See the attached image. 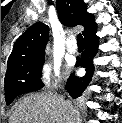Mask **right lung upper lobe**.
I'll list each match as a JSON object with an SVG mask.
<instances>
[{"mask_svg": "<svg viewBox=\"0 0 122 123\" xmlns=\"http://www.w3.org/2000/svg\"><path fill=\"white\" fill-rule=\"evenodd\" d=\"M59 20L66 26H84L83 35L86 37L97 29L93 14L87 12L83 0H57ZM49 38V27L37 22L29 27L15 42L7 62V69L30 58L44 55Z\"/></svg>", "mask_w": 122, "mask_h": 123, "instance_id": "right-lung-upper-lobe-1", "label": "right lung upper lobe"}]
</instances>
